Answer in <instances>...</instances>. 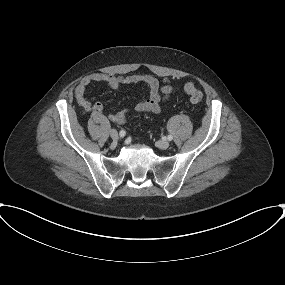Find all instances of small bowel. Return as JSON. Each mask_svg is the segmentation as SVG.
<instances>
[{
    "label": "small bowel",
    "instance_id": "1",
    "mask_svg": "<svg viewBox=\"0 0 285 285\" xmlns=\"http://www.w3.org/2000/svg\"><path fill=\"white\" fill-rule=\"evenodd\" d=\"M107 83L113 90H119L123 85L143 84L147 89V97L134 105L137 112L158 113L162 102L175 90V86L169 79L160 82L153 76L145 74L115 75L109 73H94L85 77L75 89V97L79 106L86 112L101 113L104 109L101 102H91L87 97V89L93 83ZM129 108H123L116 113H109L108 119L117 124L126 122V113Z\"/></svg>",
    "mask_w": 285,
    "mask_h": 285
}]
</instances>
